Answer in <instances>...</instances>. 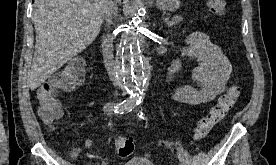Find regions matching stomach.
<instances>
[{"instance_id":"0dacf381","label":"stomach","mask_w":276,"mask_h":165,"mask_svg":"<svg viewBox=\"0 0 276 165\" xmlns=\"http://www.w3.org/2000/svg\"><path fill=\"white\" fill-rule=\"evenodd\" d=\"M156 5L163 11H174L180 6L179 0H156Z\"/></svg>"}]
</instances>
